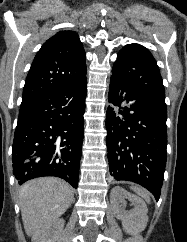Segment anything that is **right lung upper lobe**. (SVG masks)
Segmentation results:
<instances>
[{"label":"right lung upper lobe","mask_w":187,"mask_h":242,"mask_svg":"<svg viewBox=\"0 0 187 242\" xmlns=\"http://www.w3.org/2000/svg\"><path fill=\"white\" fill-rule=\"evenodd\" d=\"M86 77L83 44L74 31H61L40 48L27 75L23 99L78 83Z\"/></svg>","instance_id":"cb5924a9"}]
</instances>
